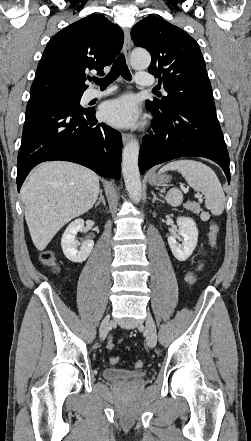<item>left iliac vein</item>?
Wrapping results in <instances>:
<instances>
[{
    "label": "left iliac vein",
    "mask_w": 251,
    "mask_h": 441,
    "mask_svg": "<svg viewBox=\"0 0 251 441\" xmlns=\"http://www.w3.org/2000/svg\"><path fill=\"white\" fill-rule=\"evenodd\" d=\"M145 324L147 332L146 342L150 348H154L157 343V332L154 319L150 313H148L146 316Z\"/></svg>",
    "instance_id": "left-iliac-vein-1"
}]
</instances>
